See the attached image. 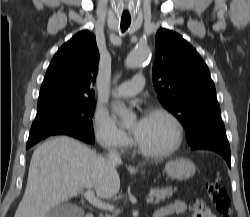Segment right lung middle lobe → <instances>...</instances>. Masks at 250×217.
<instances>
[{"label":"right lung middle lobe","instance_id":"right-lung-middle-lobe-1","mask_svg":"<svg viewBox=\"0 0 250 217\" xmlns=\"http://www.w3.org/2000/svg\"><path fill=\"white\" fill-rule=\"evenodd\" d=\"M95 101H80L37 111L26 148L51 135H68L94 143L92 120Z\"/></svg>","mask_w":250,"mask_h":217}]
</instances>
